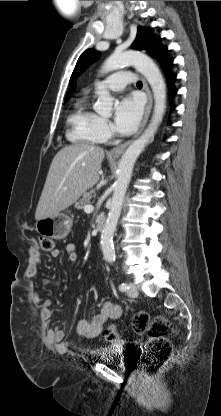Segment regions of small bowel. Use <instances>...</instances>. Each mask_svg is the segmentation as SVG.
<instances>
[{
  "label": "small bowel",
  "mask_w": 221,
  "mask_h": 416,
  "mask_svg": "<svg viewBox=\"0 0 221 416\" xmlns=\"http://www.w3.org/2000/svg\"><path fill=\"white\" fill-rule=\"evenodd\" d=\"M67 257L70 262H76L78 259L77 247L74 243H69L66 245ZM52 257H59L60 251L54 249L51 252ZM42 261L41 254L38 250H33L31 253V260L27 270V275L29 278H32L37 273V268ZM44 284H55L56 282L51 279H43ZM35 303L41 306L42 317L49 321L52 318L53 310L51 308L52 302L49 299H42L39 295H35ZM122 310L121 307L112 302L105 301L98 315H96L92 320L81 319L77 323V334L83 338H94L98 336L109 320H116L121 316ZM52 336L54 340L58 343L64 341L65 334L60 329L52 330Z\"/></svg>",
  "instance_id": "small-bowel-1"
}]
</instances>
